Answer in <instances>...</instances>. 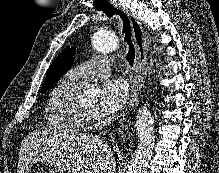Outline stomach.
I'll return each instance as SVG.
<instances>
[{"instance_id":"1","label":"stomach","mask_w":219,"mask_h":173,"mask_svg":"<svg viewBox=\"0 0 219 173\" xmlns=\"http://www.w3.org/2000/svg\"><path fill=\"white\" fill-rule=\"evenodd\" d=\"M49 173H67V172H66V170H64L60 167L54 166V167H51L49 169Z\"/></svg>"}]
</instances>
